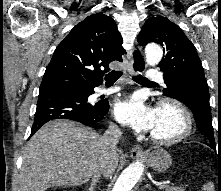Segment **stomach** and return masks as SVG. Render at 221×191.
<instances>
[{
  "instance_id": "0dacf381",
  "label": "stomach",
  "mask_w": 221,
  "mask_h": 191,
  "mask_svg": "<svg viewBox=\"0 0 221 191\" xmlns=\"http://www.w3.org/2000/svg\"><path fill=\"white\" fill-rule=\"evenodd\" d=\"M148 162L150 166L156 171L164 172L171 166L172 159L167 151L163 149H157L151 152L148 157Z\"/></svg>"
}]
</instances>
